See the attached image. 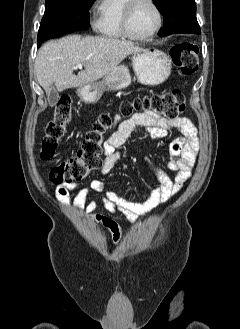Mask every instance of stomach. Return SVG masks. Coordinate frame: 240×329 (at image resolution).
<instances>
[{
	"label": "stomach",
	"instance_id": "stomach-1",
	"mask_svg": "<svg viewBox=\"0 0 240 329\" xmlns=\"http://www.w3.org/2000/svg\"><path fill=\"white\" fill-rule=\"evenodd\" d=\"M132 67L139 83L156 86L163 83L171 73L169 57L157 49H143L132 56ZM131 84V76L125 65H118L101 81L85 84L78 88V95L85 103L99 101L104 91H117Z\"/></svg>",
	"mask_w": 240,
	"mask_h": 329
}]
</instances>
